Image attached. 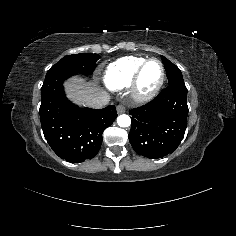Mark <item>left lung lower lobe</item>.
I'll use <instances>...</instances> for the list:
<instances>
[{
  "label": "left lung lower lobe",
  "mask_w": 236,
  "mask_h": 236,
  "mask_svg": "<svg viewBox=\"0 0 236 236\" xmlns=\"http://www.w3.org/2000/svg\"><path fill=\"white\" fill-rule=\"evenodd\" d=\"M129 141L139 155L158 159L174 152L184 137L188 115L184 82L168 85L154 100L130 110Z\"/></svg>",
  "instance_id": "1"
}]
</instances>
